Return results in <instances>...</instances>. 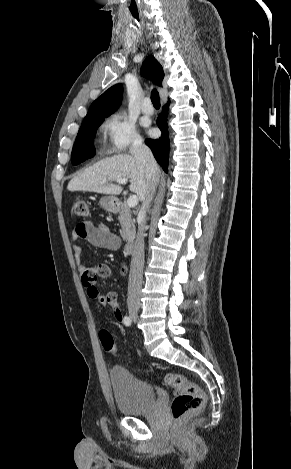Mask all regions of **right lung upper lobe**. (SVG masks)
<instances>
[{"label": "right lung upper lobe", "mask_w": 291, "mask_h": 469, "mask_svg": "<svg viewBox=\"0 0 291 469\" xmlns=\"http://www.w3.org/2000/svg\"><path fill=\"white\" fill-rule=\"evenodd\" d=\"M142 74L152 79L158 86L162 85L164 72L161 65L153 56H148L142 66ZM123 89L121 84H116L105 91L90 106L84 120L107 117L115 112L122 101Z\"/></svg>", "instance_id": "1"}]
</instances>
